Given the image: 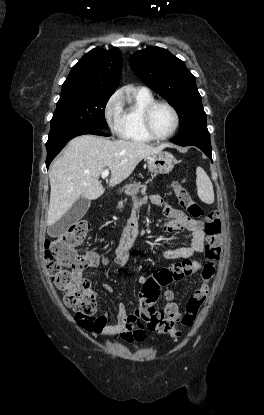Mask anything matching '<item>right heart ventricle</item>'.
<instances>
[{
	"mask_svg": "<svg viewBox=\"0 0 264 415\" xmlns=\"http://www.w3.org/2000/svg\"><path fill=\"white\" fill-rule=\"evenodd\" d=\"M153 101L154 96L149 90H135L132 93V101L122 107V125L119 132L121 138L142 143L153 141L142 124V111Z\"/></svg>",
	"mask_w": 264,
	"mask_h": 415,
	"instance_id": "1",
	"label": "right heart ventricle"
}]
</instances>
